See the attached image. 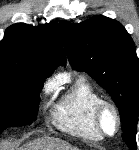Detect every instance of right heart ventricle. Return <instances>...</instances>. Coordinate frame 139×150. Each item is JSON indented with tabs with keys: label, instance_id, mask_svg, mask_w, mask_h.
I'll use <instances>...</instances> for the list:
<instances>
[{
	"label": "right heart ventricle",
	"instance_id": "right-heart-ventricle-1",
	"mask_svg": "<svg viewBox=\"0 0 139 150\" xmlns=\"http://www.w3.org/2000/svg\"><path fill=\"white\" fill-rule=\"evenodd\" d=\"M101 95L84 78H79L54 105L51 121L55 127L74 136L88 140L103 137L93 124V109L101 100Z\"/></svg>",
	"mask_w": 139,
	"mask_h": 150
}]
</instances>
